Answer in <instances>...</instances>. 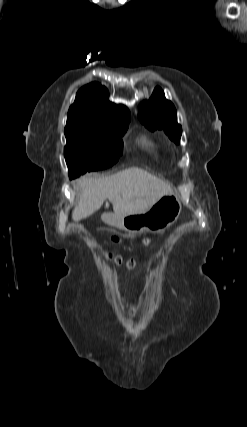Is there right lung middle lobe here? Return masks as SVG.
I'll return each mask as SVG.
<instances>
[{
  "label": "right lung middle lobe",
  "mask_w": 247,
  "mask_h": 427,
  "mask_svg": "<svg viewBox=\"0 0 247 427\" xmlns=\"http://www.w3.org/2000/svg\"><path fill=\"white\" fill-rule=\"evenodd\" d=\"M128 126L104 128L76 120H67L64 149L69 177L86 171L108 168L123 152L122 136Z\"/></svg>",
  "instance_id": "right-lung-middle-lobe-1"
}]
</instances>
